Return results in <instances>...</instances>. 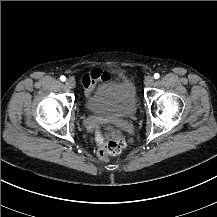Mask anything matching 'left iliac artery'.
<instances>
[{"mask_svg":"<svg viewBox=\"0 0 217 217\" xmlns=\"http://www.w3.org/2000/svg\"><path fill=\"white\" fill-rule=\"evenodd\" d=\"M159 77H160V75H159L158 73H155V74H154V78H155V79H158Z\"/></svg>","mask_w":217,"mask_h":217,"instance_id":"44dca946","label":"left iliac artery"}]
</instances>
